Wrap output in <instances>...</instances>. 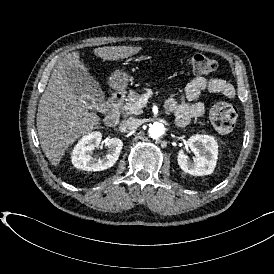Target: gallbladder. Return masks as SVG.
<instances>
[{"label": "gallbladder", "instance_id": "gallbladder-1", "mask_svg": "<svg viewBox=\"0 0 274 274\" xmlns=\"http://www.w3.org/2000/svg\"><path fill=\"white\" fill-rule=\"evenodd\" d=\"M66 84L74 89L79 101L86 105L97 116L103 115L108 108L106 98L99 85L92 76L81 71L74 64L68 65L63 72Z\"/></svg>", "mask_w": 274, "mask_h": 274}]
</instances>
